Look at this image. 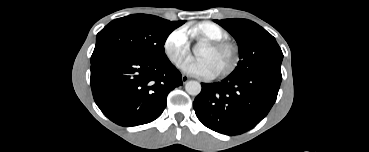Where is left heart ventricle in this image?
<instances>
[{"label": "left heart ventricle", "instance_id": "left-heart-ventricle-1", "mask_svg": "<svg viewBox=\"0 0 369 152\" xmlns=\"http://www.w3.org/2000/svg\"><path fill=\"white\" fill-rule=\"evenodd\" d=\"M198 55L200 59H206L211 63L216 74L226 69L233 58L230 49L213 50L205 46L201 47Z\"/></svg>", "mask_w": 369, "mask_h": 152}]
</instances>
